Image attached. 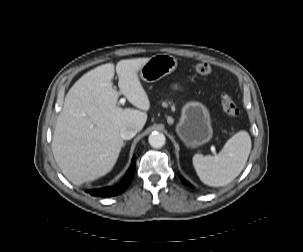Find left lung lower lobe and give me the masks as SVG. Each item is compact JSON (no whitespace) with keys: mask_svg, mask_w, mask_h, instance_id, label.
<instances>
[{"mask_svg":"<svg viewBox=\"0 0 303 252\" xmlns=\"http://www.w3.org/2000/svg\"><path fill=\"white\" fill-rule=\"evenodd\" d=\"M183 182H184V184H186V185H187V184H189V183H188V182H186V181H183Z\"/></svg>","mask_w":303,"mask_h":252,"instance_id":"obj_1","label":"left lung lower lobe"}]
</instances>
